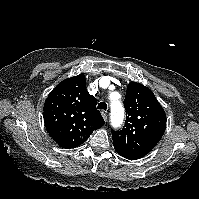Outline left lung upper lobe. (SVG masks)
<instances>
[{"mask_svg":"<svg viewBox=\"0 0 199 199\" xmlns=\"http://www.w3.org/2000/svg\"><path fill=\"white\" fill-rule=\"evenodd\" d=\"M126 121L120 131L112 130L113 145L134 158L152 150L166 129V114L154 93L146 86L131 82L124 100Z\"/></svg>","mask_w":199,"mask_h":199,"instance_id":"obj_1","label":"left lung upper lobe"}]
</instances>
